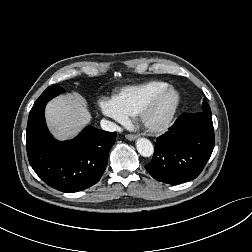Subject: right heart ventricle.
Returning a JSON list of instances; mask_svg holds the SVG:
<instances>
[{"instance_id": "1", "label": "right heart ventricle", "mask_w": 252, "mask_h": 252, "mask_svg": "<svg viewBox=\"0 0 252 252\" xmlns=\"http://www.w3.org/2000/svg\"><path fill=\"white\" fill-rule=\"evenodd\" d=\"M169 85L163 80H150L144 83L123 87L112 101L127 116H137L141 107L159 89Z\"/></svg>"}]
</instances>
